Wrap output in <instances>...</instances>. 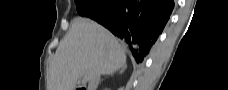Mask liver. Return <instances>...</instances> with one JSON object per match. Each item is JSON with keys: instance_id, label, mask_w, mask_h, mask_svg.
<instances>
[{"instance_id": "liver-1", "label": "liver", "mask_w": 228, "mask_h": 90, "mask_svg": "<svg viewBox=\"0 0 228 90\" xmlns=\"http://www.w3.org/2000/svg\"><path fill=\"white\" fill-rule=\"evenodd\" d=\"M126 66V54L104 27L86 18H75L60 42L49 67L47 90H75L79 78L111 74Z\"/></svg>"}]
</instances>
